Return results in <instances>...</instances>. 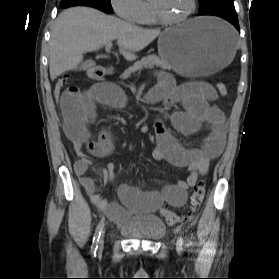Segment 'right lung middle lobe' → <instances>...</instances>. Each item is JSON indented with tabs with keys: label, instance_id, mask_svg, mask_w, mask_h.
I'll return each instance as SVG.
<instances>
[{
	"label": "right lung middle lobe",
	"instance_id": "obj_1",
	"mask_svg": "<svg viewBox=\"0 0 279 279\" xmlns=\"http://www.w3.org/2000/svg\"><path fill=\"white\" fill-rule=\"evenodd\" d=\"M101 6H103L105 9H107L108 11L112 12V6L110 3V0H96Z\"/></svg>",
	"mask_w": 279,
	"mask_h": 279
}]
</instances>
